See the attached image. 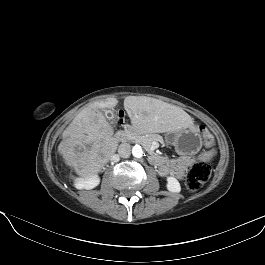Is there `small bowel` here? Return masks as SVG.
I'll list each match as a JSON object with an SVG mask.
<instances>
[{
	"instance_id": "1",
	"label": "small bowel",
	"mask_w": 265,
	"mask_h": 265,
	"mask_svg": "<svg viewBox=\"0 0 265 265\" xmlns=\"http://www.w3.org/2000/svg\"><path fill=\"white\" fill-rule=\"evenodd\" d=\"M215 153V149L210 147L202 152L198 157L183 155L175 159L163 157L164 162L158 166V173L161 176L172 175L176 178H182L186 169L195 162L196 159L209 160ZM162 157V156H161Z\"/></svg>"
}]
</instances>
